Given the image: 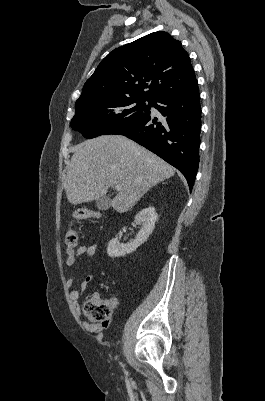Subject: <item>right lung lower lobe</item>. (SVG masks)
<instances>
[{
  "mask_svg": "<svg viewBox=\"0 0 265 401\" xmlns=\"http://www.w3.org/2000/svg\"><path fill=\"white\" fill-rule=\"evenodd\" d=\"M153 107L164 116L163 119L150 114L113 134L134 140L176 167L185 176L191 191L199 166L201 106L198 83L156 100Z\"/></svg>",
  "mask_w": 265,
  "mask_h": 401,
  "instance_id": "right-lung-lower-lobe-1",
  "label": "right lung lower lobe"
}]
</instances>
